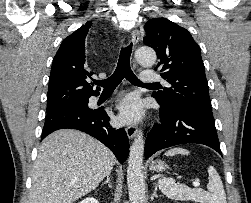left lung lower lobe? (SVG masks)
Instances as JSON below:
<instances>
[{"label": "left lung lower lobe", "instance_id": "left-lung-lower-lobe-1", "mask_svg": "<svg viewBox=\"0 0 251 203\" xmlns=\"http://www.w3.org/2000/svg\"><path fill=\"white\" fill-rule=\"evenodd\" d=\"M161 124H155L147 135L145 159L156 151L171 146L198 143L222 155L213 114L195 106H180L172 111L160 108Z\"/></svg>", "mask_w": 251, "mask_h": 203}]
</instances>
